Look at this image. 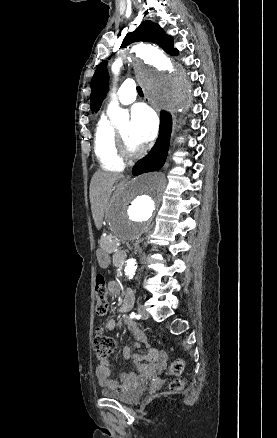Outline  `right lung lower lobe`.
<instances>
[{
    "mask_svg": "<svg viewBox=\"0 0 277 438\" xmlns=\"http://www.w3.org/2000/svg\"><path fill=\"white\" fill-rule=\"evenodd\" d=\"M172 131V117L170 113L162 111L160 115L159 137L150 153L139 160L133 167V175L160 169L165 161L169 149V138Z\"/></svg>",
    "mask_w": 277,
    "mask_h": 438,
    "instance_id": "98d812e1",
    "label": "right lung lower lobe"
}]
</instances>
